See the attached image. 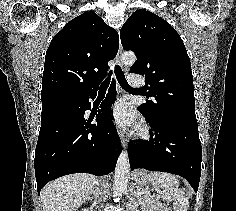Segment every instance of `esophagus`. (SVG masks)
Instances as JSON below:
<instances>
[{
	"instance_id": "esophagus-1",
	"label": "esophagus",
	"mask_w": 236,
	"mask_h": 211,
	"mask_svg": "<svg viewBox=\"0 0 236 211\" xmlns=\"http://www.w3.org/2000/svg\"><path fill=\"white\" fill-rule=\"evenodd\" d=\"M121 54H122V44H121V41L119 40V49H118V53L116 55V62L120 66H123L122 62H121ZM118 135H119L122 146L125 148L126 147V138H125L124 132L120 128H118Z\"/></svg>"
}]
</instances>
